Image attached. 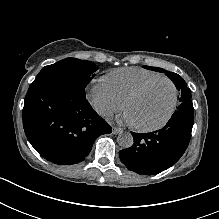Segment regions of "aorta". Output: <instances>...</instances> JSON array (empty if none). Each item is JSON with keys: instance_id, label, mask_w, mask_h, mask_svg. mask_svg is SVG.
I'll list each match as a JSON object with an SVG mask.
<instances>
[{"instance_id": "obj_1", "label": "aorta", "mask_w": 219, "mask_h": 219, "mask_svg": "<svg viewBox=\"0 0 219 219\" xmlns=\"http://www.w3.org/2000/svg\"><path fill=\"white\" fill-rule=\"evenodd\" d=\"M117 142L122 148H130L133 145V136L130 133L120 134Z\"/></svg>"}]
</instances>
